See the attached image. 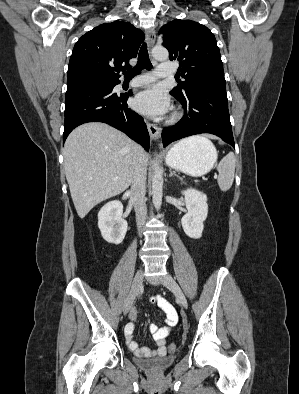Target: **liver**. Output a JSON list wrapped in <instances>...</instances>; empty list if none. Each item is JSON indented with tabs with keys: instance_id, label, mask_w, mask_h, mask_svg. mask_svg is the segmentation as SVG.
I'll return each instance as SVG.
<instances>
[{
	"instance_id": "liver-1",
	"label": "liver",
	"mask_w": 299,
	"mask_h": 394,
	"mask_svg": "<svg viewBox=\"0 0 299 394\" xmlns=\"http://www.w3.org/2000/svg\"><path fill=\"white\" fill-rule=\"evenodd\" d=\"M137 152L135 142L104 123H86L70 133L63 150L64 171L80 218L129 187ZM143 155L147 162V153Z\"/></svg>"
}]
</instances>
